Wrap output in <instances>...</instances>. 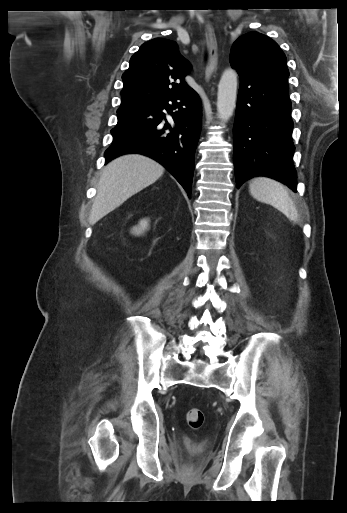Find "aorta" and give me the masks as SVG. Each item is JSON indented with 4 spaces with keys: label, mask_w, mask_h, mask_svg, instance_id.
<instances>
[{
    "label": "aorta",
    "mask_w": 347,
    "mask_h": 513,
    "mask_svg": "<svg viewBox=\"0 0 347 513\" xmlns=\"http://www.w3.org/2000/svg\"><path fill=\"white\" fill-rule=\"evenodd\" d=\"M237 97V73L226 69L220 79L217 93V112L222 122H226L233 115Z\"/></svg>",
    "instance_id": "762f6f07"
}]
</instances>
